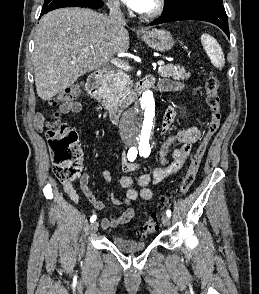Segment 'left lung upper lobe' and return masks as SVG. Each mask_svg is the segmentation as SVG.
Masks as SVG:
<instances>
[{
    "label": "left lung upper lobe",
    "instance_id": "5c2ea615",
    "mask_svg": "<svg viewBox=\"0 0 259 294\" xmlns=\"http://www.w3.org/2000/svg\"><path fill=\"white\" fill-rule=\"evenodd\" d=\"M203 2L222 4L223 0H165V10L162 15L174 13Z\"/></svg>",
    "mask_w": 259,
    "mask_h": 294
}]
</instances>
